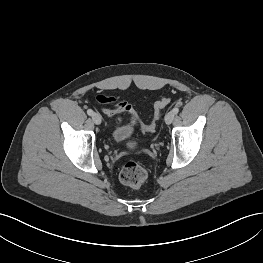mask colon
Wrapping results in <instances>:
<instances>
[{"label": "colon", "mask_w": 263, "mask_h": 263, "mask_svg": "<svg viewBox=\"0 0 263 263\" xmlns=\"http://www.w3.org/2000/svg\"><path fill=\"white\" fill-rule=\"evenodd\" d=\"M98 102L103 105H111L113 106L114 111L118 113L126 114L132 122L139 123L137 119V113L133 109V107L125 102L116 99L115 97L109 96H99ZM170 98L169 97H162L157 100L154 104V120L150 124H142L139 123L140 128L143 131H152L155 127V121L159 118L162 110L169 104ZM132 135L131 127L128 125H119L116 133L115 138L117 140H127L130 139ZM136 146L135 141L129 140L128 147L130 149H134ZM147 179V172L146 170L136 162L129 161L124 164L121 172H120V180L121 182L129 187L137 188L142 186Z\"/></svg>", "instance_id": "5ec220e1"}]
</instances>
